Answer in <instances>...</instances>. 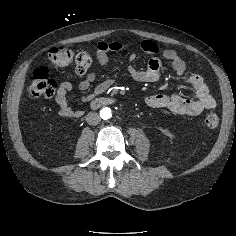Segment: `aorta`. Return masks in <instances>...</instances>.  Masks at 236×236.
<instances>
[{"label":"aorta","instance_id":"aorta-1","mask_svg":"<svg viewBox=\"0 0 236 236\" xmlns=\"http://www.w3.org/2000/svg\"><path fill=\"white\" fill-rule=\"evenodd\" d=\"M100 116L102 119L107 120L112 117V111L108 107H104L100 111Z\"/></svg>","mask_w":236,"mask_h":236}]
</instances>
